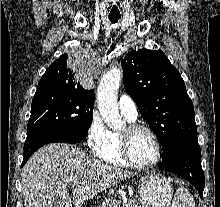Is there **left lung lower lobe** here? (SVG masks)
<instances>
[{
  "mask_svg": "<svg viewBox=\"0 0 220 207\" xmlns=\"http://www.w3.org/2000/svg\"><path fill=\"white\" fill-rule=\"evenodd\" d=\"M161 168L188 180L198 190H204V172L201 166V150L197 134L183 138L168 147L162 156Z\"/></svg>",
  "mask_w": 220,
  "mask_h": 207,
  "instance_id": "obj_1",
  "label": "left lung lower lobe"
}]
</instances>
